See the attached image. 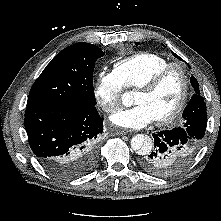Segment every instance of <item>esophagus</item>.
Wrapping results in <instances>:
<instances>
[{
  "label": "esophagus",
  "mask_w": 221,
  "mask_h": 221,
  "mask_svg": "<svg viewBox=\"0 0 221 221\" xmlns=\"http://www.w3.org/2000/svg\"><path fill=\"white\" fill-rule=\"evenodd\" d=\"M113 134H114V135H123V134H126V131H125V130H120V129H118V130H115V131L113 132Z\"/></svg>",
  "instance_id": "34e87169"
}]
</instances>
